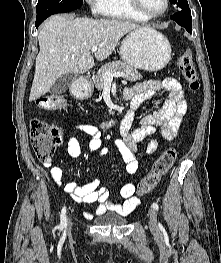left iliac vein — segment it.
<instances>
[{
    "label": "left iliac vein",
    "instance_id": "1",
    "mask_svg": "<svg viewBox=\"0 0 221 263\" xmlns=\"http://www.w3.org/2000/svg\"><path fill=\"white\" fill-rule=\"evenodd\" d=\"M148 216H149V228L151 232L157 233L159 231V227H158L157 214L155 209L150 208L148 210Z\"/></svg>",
    "mask_w": 221,
    "mask_h": 263
}]
</instances>
